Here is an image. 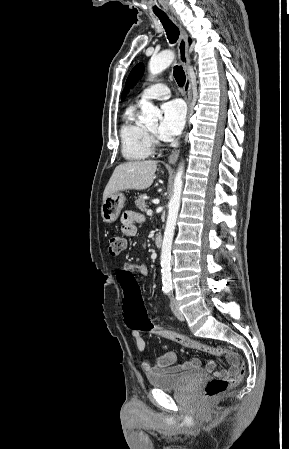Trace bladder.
I'll list each match as a JSON object with an SVG mask.
<instances>
[{
    "label": "bladder",
    "instance_id": "obj_1",
    "mask_svg": "<svg viewBox=\"0 0 289 449\" xmlns=\"http://www.w3.org/2000/svg\"><path fill=\"white\" fill-rule=\"evenodd\" d=\"M205 376L202 369H194L183 373H160L149 374L148 382L154 388L163 391H172L185 387L186 385Z\"/></svg>",
    "mask_w": 289,
    "mask_h": 449
}]
</instances>
